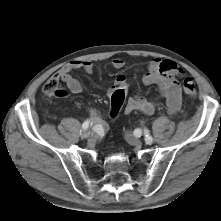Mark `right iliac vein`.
I'll return each mask as SVG.
<instances>
[{
	"label": "right iliac vein",
	"mask_w": 221,
	"mask_h": 221,
	"mask_svg": "<svg viewBox=\"0 0 221 221\" xmlns=\"http://www.w3.org/2000/svg\"><path fill=\"white\" fill-rule=\"evenodd\" d=\"M96 134L94 132H91L89 135H88V143L89 144H94L95 141H96Z\"/></svg>",
	"instance_id": "63e3f726"
}]
</instances>
